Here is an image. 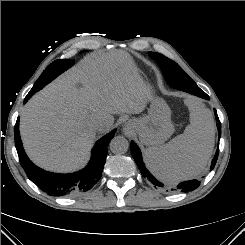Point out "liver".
Instances as JSON below:
<instances>
[{
  "label": "liver",
  "instance_id": "obj_1",
  "mask_svg": "<svg viewBox=\"0 0 245 245\" xmlns=\"http://www.w3.org/2000/svg\"><path fill=\"white\" fill-rule=\"evenodd\" d=\"M151 98L124 51L93 55L35 94L21 112L24 148L38 166L70 172L86 162L96 132L113 114H139ZM105 126L98 129L97 123Z\"/></svg>",
  "mask_w": 245,
  "mask_h": 245
}]
</instances>
